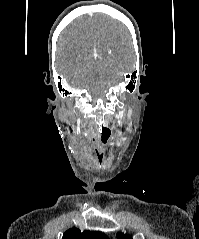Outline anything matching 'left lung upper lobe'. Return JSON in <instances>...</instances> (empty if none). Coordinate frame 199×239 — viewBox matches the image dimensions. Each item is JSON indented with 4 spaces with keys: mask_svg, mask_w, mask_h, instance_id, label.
I'll list each match as a JSON object with an SVG mask.
<instances>
[{
    "mask_svg": "<svg viewBox=\"0 0 199 239\" xmlns=\"http://www.w3.org/2000/svg\"><path fill=\"white\" fill-rule=\"evenodd\" d=\"M117 239H132V237H130L129 235L124 234V233H118Z\"/></svg>",
    "mask_w": 199,
    "mask_h": 239,
    "instance_id": "left-lung-upper-lobe-1",
    "label": "left lung upper lobe"
}]
</instances>
